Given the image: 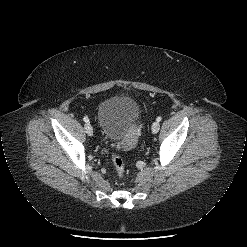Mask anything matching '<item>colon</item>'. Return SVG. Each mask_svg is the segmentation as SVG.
Instances as JSON below:
<instances>
[{"mask_svg":"<svg viewBox=\"0 0 247 247\" xmlns=\"http://www.w3.org/2000/svg\"><path fill=\"white\" fill-rule=\"evenodd\" d=\"M112 162H113L114 168L118 176L123 177L124 172H125V164H124V160L122 159V157L118 154H113Z\"/></svg>","mask_w":247,"mask_h":247,"instance_id":"1","label":"colon"}]
</instances>
